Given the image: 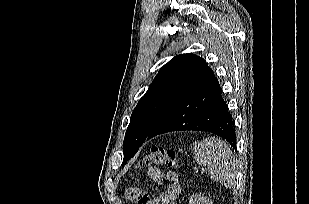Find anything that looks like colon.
<instances>
[{"mask_svg": "<svg viewBox=\"0 0 309 204\" xmlns=\"http://www.w3.org/2000/svg\"><path fill=\"white\" fill-rule=\"evenodd\" d=\"M139 166L177 167L178 166L177 155L173 149L164 148L160 146H153L141 159ZM145 202H146L145 197H140L138 200V204H144Z\"/></svg>", "mask_w": 309, "mask_h": 204, "instance_id": "obj_1", "label": "colon"}]
</instances>
